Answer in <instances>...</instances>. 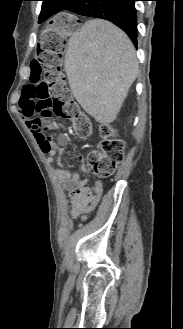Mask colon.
Returning a JSON list of instances; mask_svg holds the SVG:
<instances>
[{
    "mask_svg": "<svg viewBox=\"0 0 183 329\" xmlns=\"http://www.w3.org/2000/svg\"><path fill=\"white\" fill-rule=\"evenodd\" d=\"M48 25H40L35 32L41 38L34 54L29 56V74L27 86H21L20 114L39 115L49 119L53 115L74 122L76 133L82 138L92 134V126L81 114L71 99L66 86L67 75L61 69L64 38H77L81 21L79 14H52ZM44 131V127H42ZM103 137L98 149L89 153L87 163L93 173L101 179L111 177L124 158L125 144L115 137V131L109 126L100 129ZM51 148L47 137L41 142L43 152Z\"/></svg>",
    "mask_w": 183,
    "mask_h": 329,
    "instance_id": "5ec220e1",
    "label": "colon"
}]
</instances>
